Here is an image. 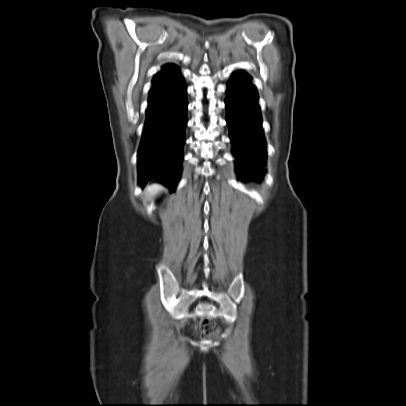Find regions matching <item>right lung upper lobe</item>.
Masks as SVG:
<instances>
[{
  "instance_id": "obj_1",
  "label": "right lung upper lobe",
  "mask_w": 406,
  "mask_h": 406,
  "mask_svg": "<svg viewBox=\"0 0 406 406\" xmlns=\"http://www.w3.org/2000/svg\"><path fill=\"white\" fill-rule=\"evenodd\" d=\"M173 65H168L165 68H163V70H161L153 79V81L159 80L161 78H163L166 74L169 73V71L173 68Z\"/></svg>"
}]
</instances>
